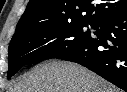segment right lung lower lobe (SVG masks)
<instances>
[{
    "instance_id": "98d812e1",
    "label": "right lung lower lobe",
    "mask_w": 127,
    "mask_h": 92,
    "mask_svg": "<svg viewBox=\"0 0 127 92\" xmlns=\"http://www.w3.org/2000/svg\"><path fill=\"white\" fill-rule=\"evenodd\" d=\"M90 36L56 58L87 67L127 92V10L93 24Z\"/></svg>"
}]
</instances>
